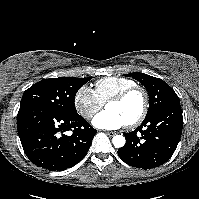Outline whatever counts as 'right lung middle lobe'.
Here are the masks:
<instances>
[{
    "label": "right lung middle lobe",
    "mask_w": 199,
    "mask_h": 199,
    "mask_svg": "<svg viewBox=\"0 0 199 199\" xmlns=\"http://www.w3.org/2000/svg\"><path fill=\"white\" fill-rule=\"evenodd\" d=\"M91 78L59 77L41 80L24 92L20 109L42 107L66 116L76 115L75 95Z\"/></svg>",
    "instance_id": "dd1d6c3e"
}]
</instances>
